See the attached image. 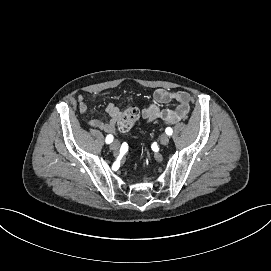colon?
Here are the masks:
<instances>
[{"label":"colon","instance_id":"5ec220e1","mask_svg":"<svg viewBox=\"0 0 271 271\" xmlns=\"http://www.w3.org/2000/svg\"><path fill=\"white\" fill-rule=\"evenodd\" d=\"M139 118V110L136 107L126 109L118 121V129L122 132L129 131Z\"/></svg>","mask_w":271,"mask_h":271}]
</instances>
